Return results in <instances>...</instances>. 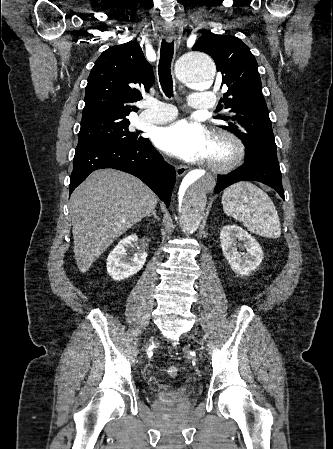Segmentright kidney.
Listing matches in <instances>:
<instances>
[{
  "mask_svg": "<svg viewBox=\"0 0 333 449\" xmlns=\"http://www.w3.org/2000/svg\"><path fill=\"white\" fill-rule=\"evenodd\" d=\"M137 247L133 258L126 256V252ZM147 258L145 245L140 244L137 235H130L121 240L110 252L107 258V272L113 280L120 281L135 275L141 270Z\"/></svg>",
  "mask_w": 333,
  "mask_h": 449,
  "instance_id": "1",
  "label": "right kidney"
}]
</instances>
